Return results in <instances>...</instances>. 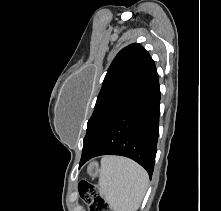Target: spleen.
I'll return each mask as SVG.
<instances>
[{
	"mask_svg": "<svg viewBox=\"0 0 221 211\" xmlns=\"http://www.w3.org/2000/svg\"><path fill=\"white\" fill-rule=\"evenodd\" d=\"M148 181L147 172L128 158L105 156L101 159L99 192L114 211H136Z\"/></svg>",
	"mask_w": 221,
	"mask_h": 211,
	"instance_id": "spleen-1",
	"label": "spleen"
}]
</instances>
